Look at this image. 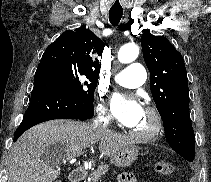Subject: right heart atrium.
I'll list each match as a JSON object with an SVG mask.
<instances>
[{"label": "right heart atrium", "instance_id": "obj_1", "mask_svg": "<svg viewBox=\"0 0 211 182\" xmlns=\"http://www.w3.org/2000/svg\"><path fill=\"white\" fill-rule=\"evenodd\" d=\"M95 113L98 121L102 124H107L111 121L112 116L108 108L104 105L101 98L95 107Z\"/></svg>", "mask_w": 211, "mask_h": 182}]
</instances>
